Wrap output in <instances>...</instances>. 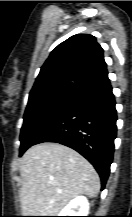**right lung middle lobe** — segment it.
<instances>
[{
  "label": "right lung middle lobe",
  "mask_w": 132,
  "mask_h": 217,
  "mask_svg": "<svg viewBox=\"0 0 132 217\" xmlns=\"http://www.w3.org/2000/svg\"><path fill=\"white\" fill-rule=\"evenodd\" d=\"M77 96L67 91H55L29 97L20 135V156Z\"/></svg>",
  "instance_id": "1"
}]
</instances>
